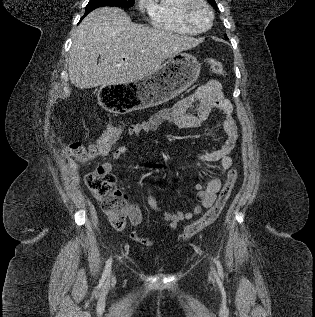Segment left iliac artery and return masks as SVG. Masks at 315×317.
<instances>
[{"label":"left iliac artery","mask_w":315,"mask_h":317,"mask_svg":"<svg viewBox=\"0 0 315 317\" xmlns=\"http://www.w3.org/2000/svg\"><path fill=\"white\" fill-rule=\"evenodd\" d=\"M213 260H214V262H215V264H216V266L218 268L219 275L222 277L223 276V269H222V266H221L220 262L218 260H216V259H213Z\"/></svg>","instance_id":"1"}]
</instances>
